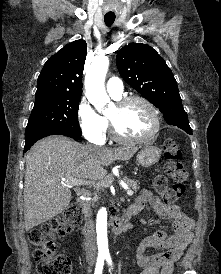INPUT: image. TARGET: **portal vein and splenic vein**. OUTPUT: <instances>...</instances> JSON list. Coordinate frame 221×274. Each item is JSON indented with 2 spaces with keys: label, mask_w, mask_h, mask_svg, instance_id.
<instances>
[{
  "label": "portal vein and splenic vein",
  "mask_w": 221,
  "mask_h": 274,
  "mask_svg": "<svg viewBox=\"0 0 221 274\" xmlns=\"http://www.w3.org/2000/svg\"><path fill=\"white\" fill-rule=\"evenodd\" d=\"M63 182L64 184H66L68 187L70 186H73V185H76V186H81V185H90V184H95L93 181H83V180H80V179H63ZM104 185V182H97L96 185ZM127 191V194L128 195H133V191L130 190L128 187H124Z\"/></svg>",
  "instance_id": "obj_1"
}]
</instances>
